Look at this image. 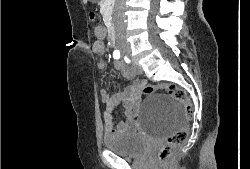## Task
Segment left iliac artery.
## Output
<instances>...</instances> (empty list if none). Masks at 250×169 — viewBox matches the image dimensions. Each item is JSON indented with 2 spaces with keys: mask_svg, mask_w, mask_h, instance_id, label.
Segmentation results:
<instances>
[{
  "mask_svg": "<svg viewBox=\"0 0 250 169\" xmlns=\"http://www.w3.org/2000/svg\"><path fill=\"white\" fill-rule=\"evenodd\" d=\"M124 59L127 63H130V60L127 57H125Z\"/></svg>",
  "mask_w": 250,
  "mask_h": 169,
  "instance_id": "1",
  "label": "left iliac artery"
}]
</instances>
